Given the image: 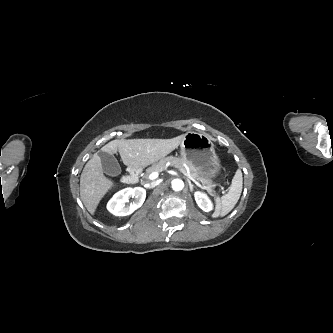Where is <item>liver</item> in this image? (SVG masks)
<instances>
[{"label":"liver","instance_id":"1","mask_svg":"<svg viewBox=\"0 0 333 333\" xmlns=\"http://www.w3.org/2000/svg\"><path fill=\"white\" fill-rule=\"evenodd\" d=\"M185 134L172 139H121L113 140L101 148L109 154L119 152L126 166L141 168L157 162L176 149ZM114 182L103 174L98 154L86 163L80 177V196L87 210L94 214L105 194Z\"/></svg>","mask_w":333,"mask_h":333}]
</instances>
